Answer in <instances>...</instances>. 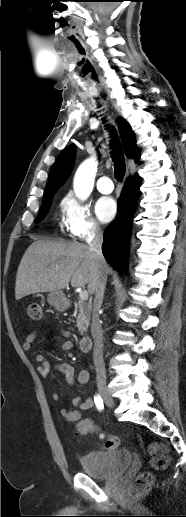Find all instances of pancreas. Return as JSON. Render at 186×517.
Instances as JSON below:
<instances>
[{
    "label": "pancreas",
    "instance_id": "1",
    "mask_svg": "<svg viewBox=\"0 0 186 517\" xmlns=\"http://www.w3.org/2000/svg\"><path fill=\"white\" fill-rule=\"evenodd\" d=\"M75 312L77 314V328L81 335L87 331L90 324L91 306L84 301H78L75 305Z\"/></svg>",
    "mask_w": 186,
    "mask_h": 517
}]
</instances>
